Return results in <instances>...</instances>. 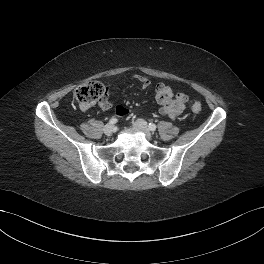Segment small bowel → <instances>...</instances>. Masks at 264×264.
<instances>
[{
    "mask_svg": "<svg viewBox=\"0 0 264 264\" xmlns=\"http://www.w3.org/2000/svg\"><path fill=\"white\" fill-rule=\"evenodd\" d=\"M142 86L146 89L150 86V81L144 76L137 75L134 77ZM156 100L160 105L159 113L166 115L172 119L178 117L186 108L189 98L186 94L176 93L169 86L159 83L155 87ZM99 106L102 110L108 111L111 109L112 104L109 99V93L107 90L106 96L100 101ZM89 107L81 106L82 110H87ZM115 112L118 115H126L128 110L122 106H117Z\"/></svg>",
    "mask_w": 264,
    "mask_h": 264,
    "instance_id": "c3829d8e",
    "label": "small bowel"
}]
</instances>
